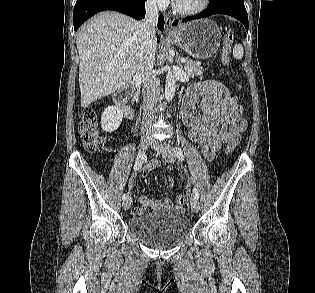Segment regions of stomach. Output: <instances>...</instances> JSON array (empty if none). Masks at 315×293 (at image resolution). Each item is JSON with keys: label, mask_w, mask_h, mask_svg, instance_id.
Listing matches in <instances>:
<instances>
[{"label": "stomach", "mask_w": 315, "mask_h": 293, "mask_svg": "<svg viewBox=\"0 0 315 293\" xmlns=\"http://www.w3.org/2000/svg\"><path fill=\"white\" fill-rule=\"evenodd\" d=\"M169 39L196 59L213 56L220 46L221 31L216 23L201 19L177 27Z\"/></svg>", "instance_id": "1"}]
</instances>
